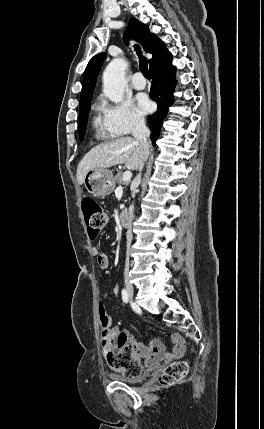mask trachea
<instances>
[{
    "label": "trachea",
    "instance_id": "trachea-1",
    "mask_svg": "<svg viewBox=\"0 0 264 429\" xmlns=\"http://www.w3.org/2000/svg\"><path fill=\"white\" fill-rule=\"evenodd\" d=\"M135 51H137V54L139 56V67H140L141 72L143 73V75L146 78H149L150 75L148 72V61H147V59L142 56L140 47L138 45H135Z\"/></svg>",
    "mask_w": 264,
    "mask_h": 429
}]
</instances>
